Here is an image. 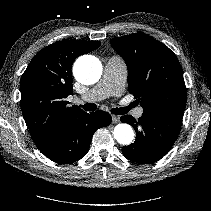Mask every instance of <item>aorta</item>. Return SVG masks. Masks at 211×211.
<instances>
[{
  "label": "aorta",
  "instance_id": "762f6f07",
  "mask_svg": "<svg viewBox=\"0 0 211 211\" xmlns=\"http://www.w3.org/2000/svg\"><path fill=\"white\" fill-rule=\"evenodd\" d=\"M73 73L77 81L84 85H91L100 79L102 65L96 57L85 55L76 60ZM113 135L117 142L122 145H129L134 139L132 127L125 123L116 125Z\"/></svg>",
  "mask_w": 211,
  "mask_h": 211
}]
</instances>
